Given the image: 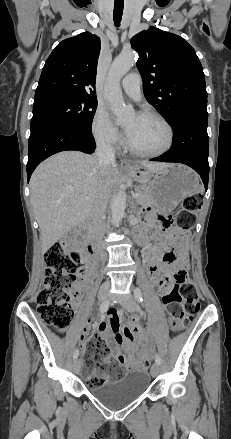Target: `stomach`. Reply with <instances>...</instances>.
Wrapping results in <instances>:
<instances>
[{
	"label": "stomach",
	"mask_w": 231,
	"mask_h": 439,
	"mask_svg": "<svg viewBox=\"0 0 231 439\" xmlns=\"http://www.w3.org/2000/svg\"><path fill=\"white\" fill-rule=\"evenodd\" d=\"M126 172L147 187L153 198L152 204L163 212L174 210L182 200L200 189L198 175L181 164H170L155 173L141 165H134Z\"/></svg>",
	"instance_id": "obj_1"
}]
</instances>
